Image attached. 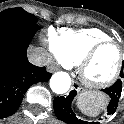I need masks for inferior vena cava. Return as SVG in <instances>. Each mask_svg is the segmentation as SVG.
Instances as JSON below:
<instances>
[{
	"label": "inferior vena cava",
	"mask_w": 124,
	"mask_h": 124,
	"mask_svg": "<svg viewBox=\"0 0 124 124\" xmlns=\"http://www.w3.org/2000/svg\"><path fill=\"white\" fill-rule=\"evenodd\" d=\"M29 62L37 66H42L45 64L46 59L41 52L33 50L29 54Z\"/></svg>",
	"instance_id": "obj_1"
}]
</instances>
